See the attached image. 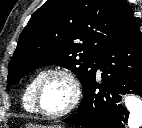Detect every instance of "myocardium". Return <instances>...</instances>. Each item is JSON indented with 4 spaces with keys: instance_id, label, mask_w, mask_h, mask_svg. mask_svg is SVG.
Returning a JSON list of instances; mask_svg holds the SVG:
<instances>
[{
    "instance_id": "1",
    "label": "myocardium",
    "mask_w": 142,
    "mask_h": 128,
    "mask_svg": "<svg viewBox=\"0 0 142 128\" xmlns=\"http://www.w3.org/2000/svg\"><path fill=\"white\" fill-rule=\"evenodd\" d=\"M52 75H60L65 77L71 87V99L69 104L65 109L56 113L46 112L40 106V92L42 84L46 78ZM81 96H82L81 84L77 76L71 70L63 67H55L45 70L42 73V75L39 77L34 91V103H35L36 112L47 118H52V119L61 118L71 113L77 107V105L80 102Z\"/></svg>"
}]
</instances>
